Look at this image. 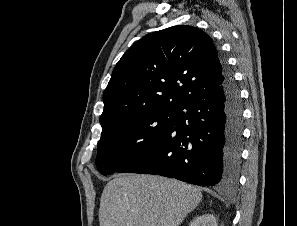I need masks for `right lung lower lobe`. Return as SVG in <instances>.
I'll use <instances>...</instances> for the list:
<instances>
[{"label": "right lung lower lobe", "mask_w": 297, "mask_h": 226, "mask_svg": "<svg viewBox=\"0 0 297 226\" xmlns=\"http://www.w3.org/2000/svg\"><path fill=\"white\" fill-rule=\"evenodd\" d=\"M216 88L187 99L172 127L118 172L158 174L199 186L234 187L239 178L243 105L227 63Z\"/></svg>", "instance_id": "right-lung-lower-lobe-1"}]
</instances>
